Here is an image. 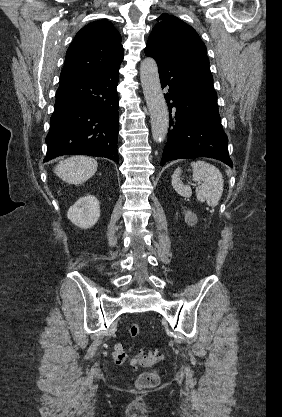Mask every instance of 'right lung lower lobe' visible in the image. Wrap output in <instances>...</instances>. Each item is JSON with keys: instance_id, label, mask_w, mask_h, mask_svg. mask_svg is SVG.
Returning <instances> with one entry per match:
<instances>
[{"instance_id": "right-lung-lower-lobe-1", "label": "right lung lower lobe", "mask_w": 282, "mask_h": 417, "mask_svg": "<svg viewBox=\"0 0 282 417\" xmlns=\"http://www.w3.org/2000/svg\"><path fill=\"white\" fill-rule=\"evenodd\" d=\"M118 75L116 68L59 86L44 162L84 154L118 163Z\"/></svg>"}]
</instances>
